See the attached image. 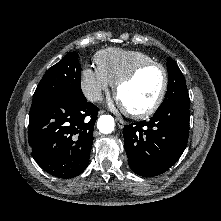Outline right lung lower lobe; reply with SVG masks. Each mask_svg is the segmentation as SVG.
Returning <instances> with one entry per match:
<instances>
[{
    "instance_id": "1",
    "label": "right lung lower lobe",
    "mask_w": 221,
    "mask_h": 221,
    "mask_svg": "<svg viewBox=\"0 0 221 221\" xmlns=\"http://www.w3.org/2000/svg\"><path fill=\"white\" fill-rule=\"evenodd\" d=\"M98 108L85 96H59L29 114V146L39 166L68 179L87 167Z\"/></svg>"
}]
</instances>
